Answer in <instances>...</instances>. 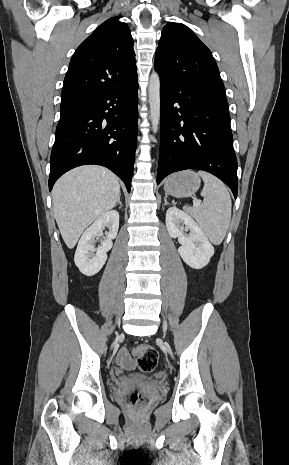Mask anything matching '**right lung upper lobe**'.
<instances>
[{"label": "right lung upper lobe", "instance_id": "right-lung-upper-lobe-1", "mask_svg": "<svg viewBox=\"0 0 289 465\" xmlns=\"http://www.w3.org/2000/svg\"><path fill=\"white\" fill-rule=\"evenodd\" d=\"M128 25L112 17L73 54L61 92L62 105L82 103L126 85L137 76Z\"/></svg>", "mask_w": 289, "mask_h": 465}]
</instances>
